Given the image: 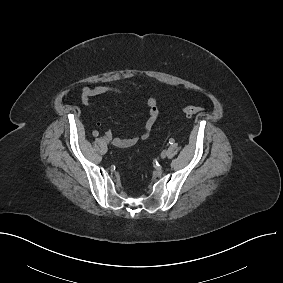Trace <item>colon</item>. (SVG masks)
<instances>
[{
    "label": "colon",
    "mask_w": 283,
    "mask_h": 283,
    "mask_svg": "<svg viewBox=\"0 0 283 283\" xmlns=\"http://www.w3.org/2000/svg\"><path fill=\"white\" fill-rule=\"evenodd\" d=\"M202 108L199 107V106H186L183 108V113L186 115V116H193L199 112H201Z\"/></svg>",
    "instance_id": "obj_1"
}]
</instances>
